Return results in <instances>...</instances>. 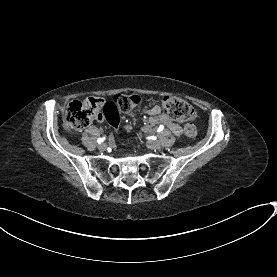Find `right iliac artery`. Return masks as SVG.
<instances>
[{
	"instance_id": "82829eb1",
	"label": "right iliac artery",
	"mask_w": 277,
	"mask_h": 277,
	"mask_svg": "<svg viewBox=\"0 0 277 277\" xmlns=\"http://www.w3.org/2000/svg\"><path fill=\"white\" fill-rule=\"evenodd\" d=\"M104 140H105V138H99V139L97 140V142L100 144V143H102Z\"/></svg>"
}]
</instances>
